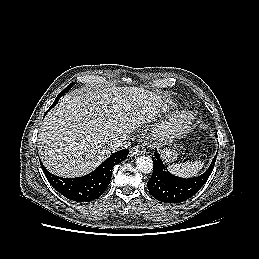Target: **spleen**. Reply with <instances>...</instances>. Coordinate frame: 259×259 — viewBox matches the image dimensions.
Here are the masks:
<instances>
[{
    "label": "spleen",
    "instance_id": "3e777b00",
    "mask_svg": "<svg viewBox=\"0 0 259 259\" xmlns=\"http://www.w3.org/2000/svg\"><path fill=\"white\" fill-rule=\"evenodd\" d=\"M204 162L195 161V162H184L180 164H173L168 167L169 171L174 175L181 177H191L196 176L199 171L202 169Z\"/></svg>",
    "mask_w": 259,
    "mask_h": 259
}]
</instances>
